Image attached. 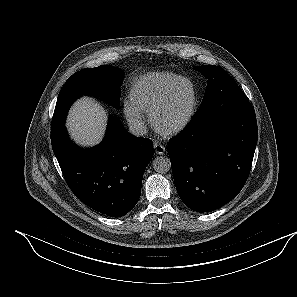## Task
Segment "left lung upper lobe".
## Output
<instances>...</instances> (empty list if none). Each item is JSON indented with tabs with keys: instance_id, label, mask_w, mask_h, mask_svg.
<instances>
[{
	"instance_id": "5c2ea615",
	"label": "left lung upper lobe",
	"mask_w": 297,
	"mask_h": 297,
	"mask_svg": "<svg viewBox=\"0 0 297 297\" xmlns=\"http://www.w3.org/2000/svg\"><path fill=\"white\" fill-rule=\"evenodd\" d=\"M195 70L207 78V87L199 110L194 115L198 117L206 109L216 110L222 104L238 101H249L247 96L221 67L215 65L196 66Z\"/></svg>"
}]
</instances>
